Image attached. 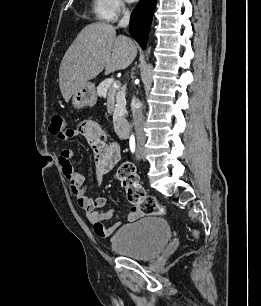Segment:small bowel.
I'll list each match as a JSON object with an SVG mask.
<instances>
[{
  "mask_svg": "<svg viewBox=\"0 0 261 306\" xmlns=\"http://www.w3.org/2000/svg\"><path fill=\"white\" fill-rule=\"evenodd\" d=\"M69 139L81 136L94 153V175L98 179L110 172L120 159V147L116 143H108L102 127L93 120L80 124L78 129H69ZM73 151L66 149L58 157L62 174L67 179L71 192L81 209L85 211L88 221L93 225L94 232L101 238L109 237L119 226L105 225V221L112 218L114 210L108 206L104 197H90L86 194L87 182L85 176L77 171L72 163ZM139 217L136 208H132L128 219L134 221Z\"/></svg>",
  "mask_w": 261,
  "mask_h": 306,
  "instance_id": "1",
  "label": "small bowel"
}]
</instances>
